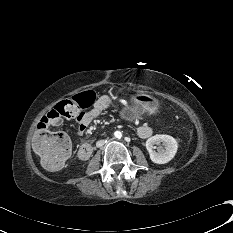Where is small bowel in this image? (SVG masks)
<instances>
[{"mask_svg":"<svg viewBox=\"0 0 233 233\" xmlns=\"http://www.w3.org/2000/svg\"><path fill=\"white\" fill-rule=\"evenodd\" d=\"M111 105V98L103 95L94 102L93 106L88 111L81 112L73 108H69L63 115L56 107L44 115L39 123L44 124L47 128L51 126H58L62 123V117L64 116L70 119H74L77 122V134L82 135L86 131L89 124L105 110L110 108ZM152 133L153 129L148 125H142L137 129V134L142 139L150 137Z\"/></svg>","mask_w":233,"mask_h":233,"instance_id":"small-bowel-1","label":"small bowel"}]
</instances>
